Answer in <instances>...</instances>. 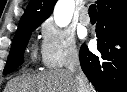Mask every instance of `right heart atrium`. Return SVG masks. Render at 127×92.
I'll return each mask as SVG.
<instances>
[{
    "instance_id": "right-heart-atrium-1",
    "label": "right heart atrium",
    "mask_w": 127,
    "mask_h": 92,
    "mask_svg": "<svg viewBox=\"0 0 127 92\" xmlns=\"http://www.w3.org/2000/svg\"><path fill=\"white\" fill-rule=\"evenodd\" d=\"M40 58L46 69H59L74 63L79 56L74 35L46 22L41 27Z\"/></svg>"
}]
</instances>
